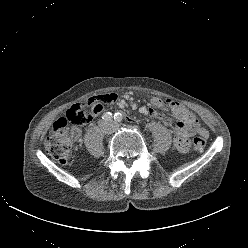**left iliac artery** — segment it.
I'll list each match as a JSON object with an SVG mask.
<instances>
[{"label": "left iliac artery", "instance_id": "1", "mask_svg": "<svg viewBox=\"0 0 248 248\" xmlns=\"http://www.w3.org/2000/svg\"><path fill=\"white\" fill-rule=\"evenodd\" d=\"M114 120L117 122H121L123 120V115L121 113H115L114 114Z\"/></svg>", "mask_w": 248, "mask_h": 248}]
</instances>
